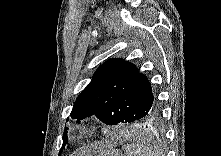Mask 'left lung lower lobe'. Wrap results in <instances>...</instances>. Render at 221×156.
Instances as JSON below:
<instances>
[{"instance_id": "0a47b994", "label": "left lung lower lobe", "mask_w": 221, "mask_h": 156, "mask_svg": "<svg viewBox=\"0 0 221 156\" xmlns=\"http://www.w3.org/2000/svg\"><path fill=\"white\" fill-rule=\"evenodd\" d=\"M140 117L137 118L135 121L131 122L130 124L134 127L147 129H153L162 126L161 108L159 105L154 111L148 113L145 116Z\"/></svg>"}]
</instances>
